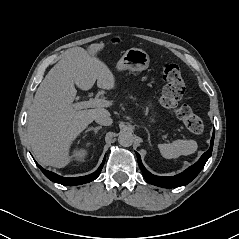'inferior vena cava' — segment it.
Wrapping results in <instances>:
<instances>
[{"label":"inferior vena cava","mask_w":239,"mask_h":239,"mask_svg":"<svg viewBox=\"0 0 239 239\" xmlns=\"http://www.w3.org/2000/svg\"><path fill=\"white\" fill-rule=\"evenodd\" d=\"M94 120L96 123L103 125V126H110L113 123V120L110 117V113L105 109L98 112L95 115Z\"/></svg>","instance_id":"obj_1"}]
</instances>
